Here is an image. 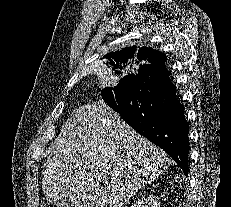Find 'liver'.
<instances>
[{"label":"liver","instance_id":"obj_1","mask_svg":"<svg viewBox=\"0 0 231 207\" xmlns=\"http://www.w3.org/2000/svg\"><path fill=\"white\" fill-rule=\"evenodd\" d=\"M49 153L43 193L69 198L72 207H122L170 165L166 153L103 101L75 110Z\"/></svg>","mask_w":231,"mask_h":207}]
</instances>
